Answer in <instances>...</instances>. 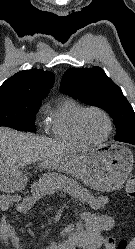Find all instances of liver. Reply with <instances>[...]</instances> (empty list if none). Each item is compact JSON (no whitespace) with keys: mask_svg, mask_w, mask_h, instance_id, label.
I'll return each instance as SVG.
<instances>
[{"mask_svg":"<svg viewBox=\"0 0 135 249\" xmlns=\"http://www.w3.org/2000/svg\"><path fill=\"white\" fill-rule=\"evenodd\" d=\"M73 146L34 134L0 127V170L23 168L37 161L63 155Z\"/></svg>","mask_w":135,"mask_h":249,"instance_id":"1","label":"liver"}]
</instances>
